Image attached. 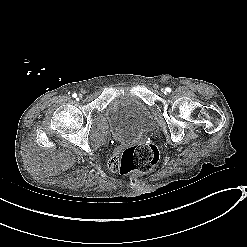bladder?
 <instances>
[{"label":"bladder","mask_w":247,"mask_h":247,"mask_svg":"<svg viewBox=\"0 0 247 247\" xmlns=\"http://www.w3.org/2000/svg\"><path fill=\"white\" fill-rule=\"evenodd\" d=\"M104 112L112 126L114 139L121 143L141 142L154 128L152 108L139 96H115Z\"/></svg>","instance_id":"obj_1"}]
</instances>
